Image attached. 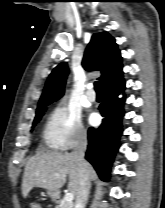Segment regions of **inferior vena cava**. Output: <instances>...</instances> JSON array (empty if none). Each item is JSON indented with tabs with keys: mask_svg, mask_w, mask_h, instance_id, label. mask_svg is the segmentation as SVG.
<instances>
[{
	"mask_svg": "<svg viewBox=\"0 0 165 208\" xmlns=\"http://www.w3.org/2000/svg\"><path fill=\"white\" fill-rule=\"evenodd\" d=\"M86 148L87 136L86 134H80L72 152V156L78 168L80 181V188L76 197L74 208H85L88 200L90 179L88 175L87 163L84 159Z\"/></svg>",
	"mask_w": 165,
	"mask_h": 208,
	"instance_id": "inferior-vena-cava-1",
	"label": "inferior vena cava"
}]
</instances>
